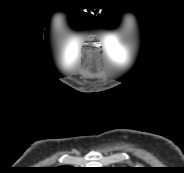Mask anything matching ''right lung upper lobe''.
Segmentation results:
<instances>
[{"label":"right lung upper lobe","instance_id":"right-lung-upper-lobe-1","mask_svg":"<svg viewBox=\"0 0 184 173\" xmlns=\"http://www.w3.org/2000/svg\"><path fill=\"white\" fill-rule=\"evenodd\" d=\"M71 171V167H57L56 173H68Z\"/></svg>","mask_w":184,"mask_h":173}]
</instances>
